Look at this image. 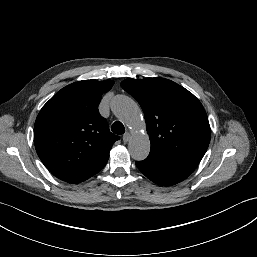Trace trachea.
<instances>
[{"label": "trachea", "instance_id": "obj_1", "mask_svg": "<svg viewBox=\"0 0 257 257\" xmlns=\"http://www.w3.org/2000/svg\"><path fill=\"white\" fill-rule=\"evenodd\" d=\"M111 130L117 135H122L125 132L124 125L119 121H116L112 124Z\"/></svg>", "mask_w": 257, "mask_h": 257}]
</instances>
